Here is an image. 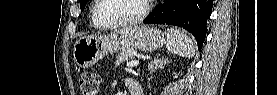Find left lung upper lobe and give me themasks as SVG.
<instances>
[{"mask_svg":"<svg viewBox=\"0 0 277 95\" xmlns=\"http://www.w3.org/2000/svg\"><path fill=\"white\" fill-rule=\"evenodd\" d=\"M87 1H88V0H80V8H81V11L84 10V7L86 6Z\"/></svg>","mask_w":277,"mask_h":95,"instance_id":"5c2ea615","label":"left lung upper lobe"}]
</instances>
